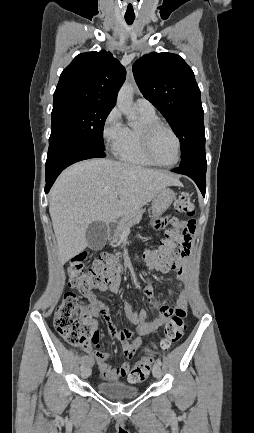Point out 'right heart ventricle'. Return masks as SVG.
<instances>
[{"instance_id": "e07e8e85", "label": "right heart ventricle", "mask_w": 254, "mask_h": 433, "mask_svg": "<svg viewBox=\"0 0 254 433\" xmlns=\"http://www.w3.org/2000/svg\"><path fill=\"white\" fill-rule=\"evenodd\" d=\"M141 125L140 126H125L123 135L117 145L116 155L117 157L126 163L142 166L151 167L152 164L149 159L145 156L140 137V129L143 124L158 121V117L154 113L140 112Z\"/></svg>"}]
</instances>
